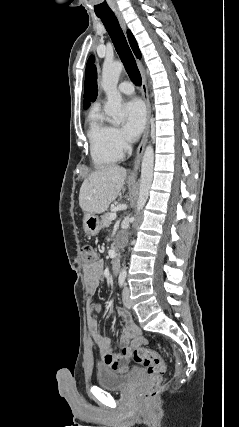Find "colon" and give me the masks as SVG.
<instances>
[{
    "mask_svg": "<svg viewBox=\"0 0 239 427\" xmlns=\"http://www.w3.org/2000/svg\"><path fill=\"white\" fill-rule=\"evenodd\" d=\"M82 259L84 265L93 264L96 259V252L92 245L82 246ZM124 354H130L134 361L147 368L149 382L144 389L142 396L145 400H150L157 393L163 381L166 372V366L158 351L149 348H138L133 351H125Z\"/></svg>",
    "mask_w": 239,
    "mask_h": 427,
    "instance_id": "1",
    "label": "colon"
}]
</instances>
